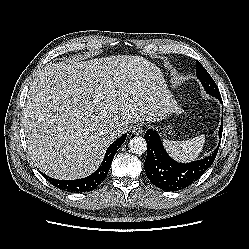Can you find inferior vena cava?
<instances>
[{
  "instance_id": "obj_1",
  "label": "inferior vena cava",
  "mask_w": 249,
  "mask_h": 249,
  "mask_svg": "<svg viewBox=\"0 0 249 249\" xmlns=\"http://www.w3.org/2000/svg\"><path fill=\"white\" fill-rule=\"evenodd\" d=\"M125 131V128L122 127V126H118V127H115L113 130H112V135L115 136V137H118L120 136L122 133H124Z\"/></svg>"
}]
</instances>
